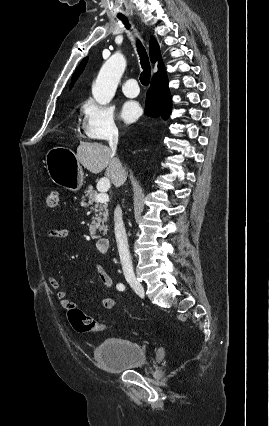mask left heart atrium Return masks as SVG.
I'll return each mask as SVG.
<instances>
[{
    "label": "left heart atrium",
    "mask_w": 269,
    "mask_h": 426,
    "mask_svg": "<svg viewBox=\"0 0 269 426\" xmlns=\"http://www.w3.org/2000/svg\"><path fill=\"white\" fill-rule=\"evenodd\" d=\"M141 115V107L136 101H126L120 112V116L125 123H132Z\"/></svg>",
    "instance_id": "1"
}]
</instances>
